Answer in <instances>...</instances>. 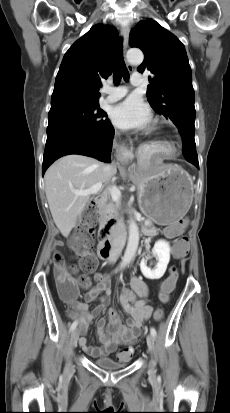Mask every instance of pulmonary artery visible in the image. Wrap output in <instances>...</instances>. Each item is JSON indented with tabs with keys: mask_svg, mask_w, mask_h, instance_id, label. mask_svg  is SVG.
I'll return each mask as SVG.
<instances>
[{
	"mask_svg": "<svg viewBox=\"0 0 230 413\" xmlns=\"http://www.w3.org/2000/svg\"><path fill=\"white\" fill-rule=\"evenodd\" d=\"M144 82L143 77L139 73H134L132 74L130 78V83L133 86H140ZM104 93L106 94V97L104 98L105 103H113L124 97L128 90L124 86H118V87H104Z\"/></svg>",
	"mask_w": 230,
	"mask_h": 413,
	"instance_id": "pulmonary-artery-1",
	"label": "pulmonary artery"
}]
</instances>
